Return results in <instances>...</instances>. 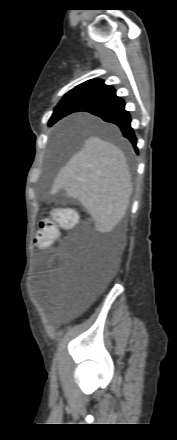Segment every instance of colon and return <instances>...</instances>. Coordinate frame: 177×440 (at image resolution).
Segmentation results:
<instances>
[{"label":"colon","instance_id":"5ec220e1","mask_svg":"<svg viewBox=\"0 0 177 440\" xmlns=\"http://www.w3.org/2000/svg\"><path fill=\"white\" fill-rule=\"evenodd\" d=\"M78 221L77 214L70 208L57 207L39 221L35 244L39 248L51 247L57 240L60 230L73 228Z\"/></svg>","mask_w":177,"mask_h":440}]
</instances>
